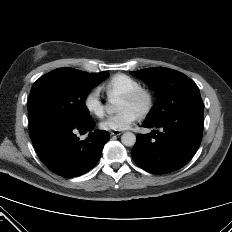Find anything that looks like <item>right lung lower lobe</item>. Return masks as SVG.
<instances>
[{
  "label": "right lung lower lobe",
  "mask_w": 232,
  "mask_h": 232,
  "mask_svg": "<svg viewBox=\"0 0 232 232\" xmlns=\"http://www.w3.org/2000/svg\"><path fill=\"white\" fill-rule=\"evenodd\" d=\"M93 121L69 123L58 120H35L29 124L30 138L42 162L52 172L63 177L80 176L99 161L109 140L107 131L90 132L80 141L75 131H92Z\"/></svg>",
  "instance_id": "right-lung-lower-lobe-1"
}]
</instances>
